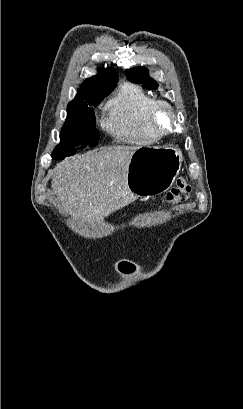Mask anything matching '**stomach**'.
Listing matches in <instances>:
<instances>
[{"mask_svg": "<svg viewBox=\"0 0 243 409\" xmlns=\"http://www.w3.org/2000/svg\"><path fill=\"white\" fill-rule=\"evenodd\" d=\"M183 161L179 149L170 146L138 148L132 155L126 185L134 196H153L167 191Z\"/></svg>", "mask_w": 243, "mask_h": 409, "instance_id": "stomach-1", "label": "stomach"}]
</instances>
